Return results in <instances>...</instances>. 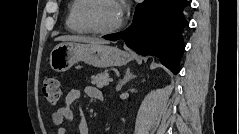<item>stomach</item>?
<instances>
[{
	"label": "stomach",
	"mask_w": 239,
	"mask_h": 134,
	"mask_svg": "<svg viewBox=\"0 0 239 134\" xmlns=\"http://www.w3.org/2000/svg\"><path fill=\"white\" fill-rule=\"evenodd\" d=\"M132 59L130 53L105 44L63 42L50 53V66L55 72H64L83 61L97 68L123 66Z\"/></svg>",
	"instance_id": "0dacf381"
}]
</instances>
